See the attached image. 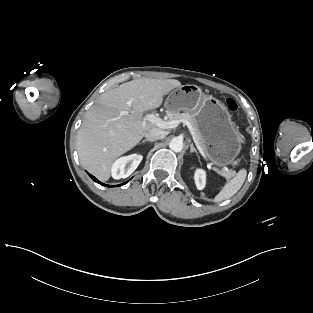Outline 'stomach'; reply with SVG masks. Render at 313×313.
Instances as JSON below:
<instances>
[{"label":"stomach","mask_w":313,"mask_h":313,"mask_svg":"<svg viewBox=\"0 0 313 313\" xmlns=\"http://www.w3.org/2000/svg\"><path fill=\"white\" fill-rule=\"evenodd\" d=\"M167 113L184 111L195 118L205 152L218 167L229 165L242 149L243 139L232 122L231 115L220 100L206 95L192 84L174 88L165 102Z\"/></svg>","instance_id":"1"}]
</instances>
